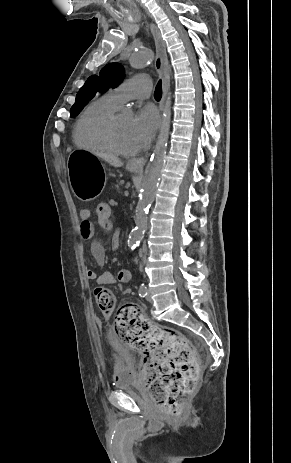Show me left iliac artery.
<instances>
[{"instance_id": "1", "label": "left iliac artery", "mask_w": 291, "mask_h": 463, "mask_svg": "<svg viewBox=\"0 0 291 463\" xmlns=\"http://www.w3.org/2000/svg\"><path fill=\"white\" fill-rule=\"evenodd\" d=\"M147 295V287L144 283L141 284L139 288V296L140 297H145Z\"/></svg>"}]
</instances>
